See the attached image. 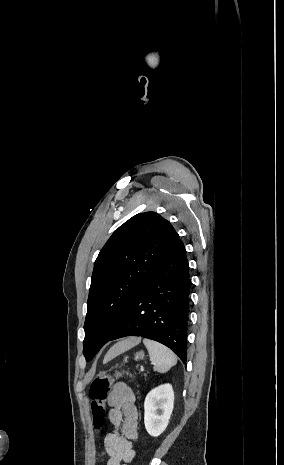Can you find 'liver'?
<instances>
[{
  "mask_svg": "<svg viewBox=\"0 0 284 465\" xmlns=\"http://www.w3.org/2000/svg\"><path fill=\"white\" fill-rule=\"evenodd\" d=\"M141 339L140 337H128V339H124V341H119V343H116V345H113L111 349H109L107 355L104 357V365L105 363H108V361H112V359H115V357H118V355H121V353H125V351H129V349H132V347H135V345H138L140 343Z\"/></svg>",
  "mask_w": 284,
  "mask_h": 465,
  "instance_id": "1",
  "label": "liver"
}]
</instances>
